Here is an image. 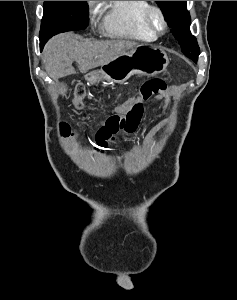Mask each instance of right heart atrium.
<instances>
[{
    "instance_id": "right-heart-atrium-1",
    "label": "right heart atrium",
    "mask_w": 237,
    "mask_h": 300,
    "mask_svg": "<svg viewBox=\"0 0 237 300\" xmlns=\"http://www.w3.org/2000/svg\"><path fill=\"white\" fill-rule=\"evenodd\" d=\"M87 5H88V9L90 11V14L92 16H94L98 11V1H88Z\"/></svg>"
}]
</instances>
